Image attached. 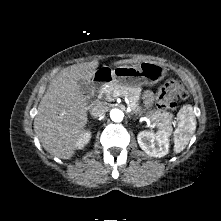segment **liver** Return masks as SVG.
I'll use <instances>...</instances> for the list:
<instances>
[{"mask_svg": "<svg viewBox=\"0 0 221 221\" xmlns=\"http://www.w3.org/2000/svg\"><path fill=\"white\" fill-rule=\"evenodd\" d=\"M132 63L120 60L115 64ZM98 61L64 68L51 80L38 106L34 132L43 148L52 156L70 159L77 148L76 141L87 123V96L81 90L80 80L90 82Z\"/></svg>", "mask_w": 221, "mask_h": 221, "instance_id": "obj_1", "label": "liver"}]
</instances>
